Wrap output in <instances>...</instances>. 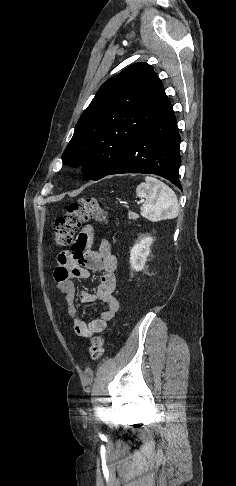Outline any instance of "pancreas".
<instances>
[{
    "label": "pancreas",
    "instance_id": "pancreas-1",
    "mask_svg": "<svg viewBox=\"0 0 236 486\" xmlns=\"http://www.w3.org/2000/svg\"><path fill=\"white\" fill-rule=\"evenodd\" d=\"M128 218H129L130 220H137V219L139 218V215H138L137 213H134V212L130 211V212L128 213Z\"/></svg>",
    "mask_w": 236,
    "mask_h": 486
}]
</instances>
